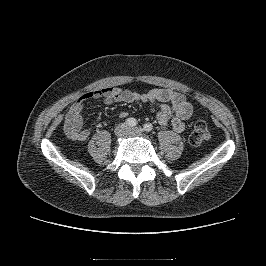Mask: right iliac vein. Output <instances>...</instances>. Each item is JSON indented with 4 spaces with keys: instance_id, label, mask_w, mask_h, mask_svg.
Wrapping results in <instances>:
<instances>
[{
    "instance_id": "right-iliac-vein-1",
    "label": "right iliac vein",
    "mask_w": 266,
    "mask_h": 266,
    "mask_svg": "<svg viewBox=\"0 0 266 266\" xmlns=\"http://www.w3.org/2000/svg\"><path fill=\"white\" fill-rule=\"evenodd\" d=\"M126 131H127V125H125V124H123V123L117 125V126L115 127V129H114V133H115V135L118 136V137L123 136V135L126 133Z\"/></svg>"
}]
</instances>
